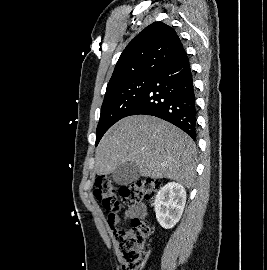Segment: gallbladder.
Here are the masks:
<instances>
[{
	"label": "gallbladder",
	"mask_w": 267,
	"mask_h": 270,
	"mask_svg": "<svg viewBox=\"0 0 267 270\" xmlns=\"http://www.w3.org/2000/svg\"><path fill=\"white\" fill-rule=\"evenodd\" d=\"M140 178L139 168L135 163L127 162L112 172V179L118 185H128Z\"/></svg>",
	"instance_id": "bac80fb5"
}]
</instances>
